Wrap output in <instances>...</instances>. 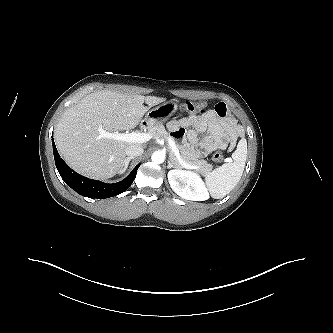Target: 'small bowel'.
<instances>
[{"label": "small bowel", "mask_w": 333, "mask_h": 333, "mask_svg": "<svg viewBox=\"0 0 333 333\" xmlns=\"http://www.w3.org/2000/svg\"><path fill=\"white\" fill-rule=\"evenodd\" d=\"M173 135L183 140V149L196 157H204L218 149L232 150L243 135L230 109L218 103L201 114L173 120L168 125Z\"/></svg>", "instance_id": "c3829d8e"}]
</instances>
